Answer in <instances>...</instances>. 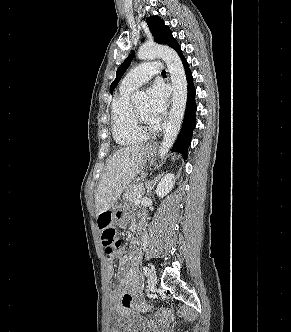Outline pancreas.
<instances>
[{
  "label": "pancreas",
  "instance_id": "cf45deb5",
  "mask_svg": "<svg viewBox=\"0 0 291 332\" xmlns=\"http://www.w3.org/2000/svg\"><path fill=\"white\" fill-rule=\"evenodd\" d=\"M144 192L145 188L143 184H132L126 188L123 199L129 204H132L136 199H140Z\"/></svg>",
  "mask_w": 291,
  "mask_h": 332
}]
</instances>
